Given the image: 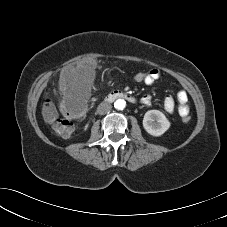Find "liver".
Listing matches in <instances>:
<instances>
[{
  "label": "liver",
  "instance_id": "obj_1",
  "mask_svg": "<svg viewBox=\"0 0 227 227\" xmlns=\"http://www.w3.org/2000/svg\"><path fill=\"white\" fill-rule=\"evenodd\" d=\"M94 64H79L77 68H70L62 72L60 77V85L64 92H68L71 88L76 85L83 78V71L86 69L94 70Z\"/></svg>",
  "mask_w": 227,
  "mask_h": 227
}]
</instances>
